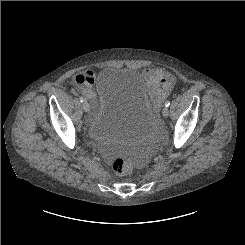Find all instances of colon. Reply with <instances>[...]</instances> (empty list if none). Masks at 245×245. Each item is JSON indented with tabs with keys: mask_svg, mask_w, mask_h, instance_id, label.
<instances>
[{
	"mask_svg": "<svg viewBox=\"0 0 245 245\" xmlns=\"http://www.w3.org/2000/svg\"><path fill=\"white\" fill-rule=\"evenodd\" d=\"M87 78H80L81 82H85ZM133 169V162L128 158H117L113 162V170L118 175H127Z\"/></svg>",
	"mask_w": 245,
	"mask_h": 245,
	"instance_id": "obj_1",
	"label": "colon"
}]
</instances>
